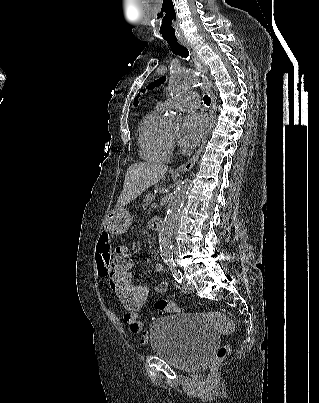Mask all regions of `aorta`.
Here are the masks:
<instances>
[{
    "mask_svg": "<svg viewBox=\"0 0 319 403\" xmlns=\"http://www.w3.org/2000/svg\"><path fill=\"white\" fill-rule=\"evenodd\" d=\"M211 85L212 82L194 73L183 72L179 69L172 71L169 78V91L171 94L193 86ZM170 119L176 121L177 117L171 115ZM191 188V180L185 179L174 192L168 206V211L159 231L160 255L166 259L172 256L171 238L176 229L178 216Z\"/></svg>",
    "mask_w": 319,
    "mask_h": 403,
    "instance_id": "obj_1",
    "label": "aorta"
}]
</instances>
